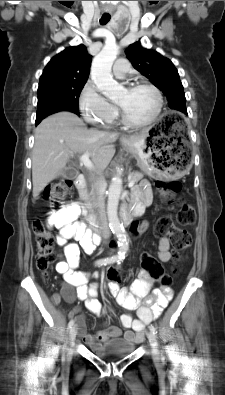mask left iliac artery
<instances>
[{"mask_svg": "<svg viewBox=\"0 0 225 395\" xmlns=\"http://www.w3.org/2000/svg\"><path fill=\"white\" fill-rule=\"evenodd\" d=\"M117 262H118V264L121 263L119 260H118ZM149 329H150V331L153 332L154 334L157 333V330H156V328H155L153 325H150V326H149Z\"/></svg>", "mask_w": 225, "mask_h": 395, "instance_id": "44dca946", "label": "left iliac artery"}]
</instances>
